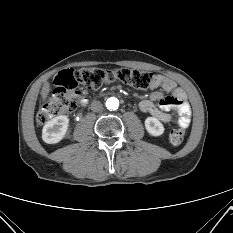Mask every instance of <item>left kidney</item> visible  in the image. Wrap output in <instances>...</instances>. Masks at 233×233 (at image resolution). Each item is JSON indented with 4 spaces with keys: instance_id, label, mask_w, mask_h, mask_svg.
Here are the masks:
<instances>
[{
    "instance_id": "5707ae66",
    "label": "left kidney",
    "mask_w": 233,
    "mask_h": 233,
    "mask_svg": "<svg viewBox=\"0 0 233 233\" xmlns=\"http://www.w3.org/2000/svg\"><path fill=\"white\" fill-rule=\"evenodd\" d=\"M145 128L152 136H160L164 133L163 124L155 117H148L145 120Z\"/></svg>"
}]
</instances>
